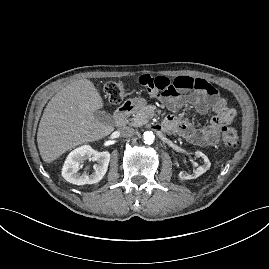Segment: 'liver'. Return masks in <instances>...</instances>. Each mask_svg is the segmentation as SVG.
Returning <instances> with one entry per match:
<instances>
[{"label": "liver", "instance_id": "obj_1", "mask_svg": "<svg viewBox=\"0 0 269 269\" xmlns=\"http://www.w3.org/2000/svg\"><path fill=\"white\" fill-rule=\"evenodd\" d=\"M103 99L88 79L62 88L47 104L39 123L37 144L44 162L50 163L72 148L98 141L114 130L94 113L103 108Z\"/></svg>", "mask_w": 269, "mask_h": 269}]
</instances>
